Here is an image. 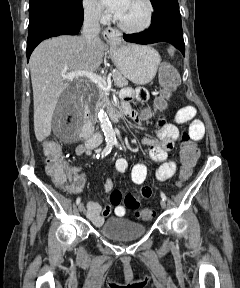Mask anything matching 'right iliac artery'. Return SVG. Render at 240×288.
Instances as JSON below:
<instances>
[{"label": "right iliac artery", "mask_w": 240, "mask_h": 288, "mask_svg": "<svg viewBox=\"0 0 240 288\" xmlns=\"http://www.w3.org/2000/svg\"><path fill=\"white\" fill-rule=\"evenodd\" d=\"M113 145H114V141H108V142H107L106 147L104 148V150H103L102 153H101V157H102V158L105 157V156H107V155L111 152V150H112V148H113ZM80 201H81V198L78 197V198L76 199V204L78 205V204L80 203Z\"/></svg>", "instance_id": "right-iliac-artery-1"}]
</instances>
